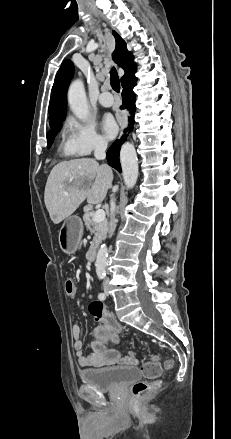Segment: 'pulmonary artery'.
Segmentation results:
<instances>
[{"label":"pulmonary artery","instance_id":"pulmonary-artery-1","mask_svg":"<svg viewBox=\"0 0 231 439\" xmlns=\"http://www.w3.org/2000/svg\"><path fill=\"white\" fill-rule=\"evenodd\" d=\"M98 101L100 105H102L103 107H111L114 103V99L112 95L107 91H103L100 94Z\"/></svg>","mask_w":231,"mask_h":439}]
</instances>
